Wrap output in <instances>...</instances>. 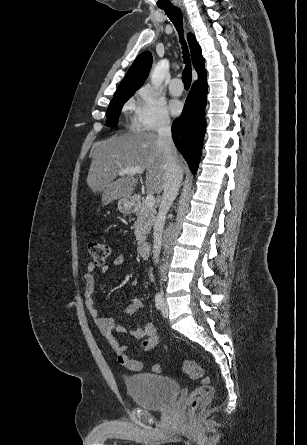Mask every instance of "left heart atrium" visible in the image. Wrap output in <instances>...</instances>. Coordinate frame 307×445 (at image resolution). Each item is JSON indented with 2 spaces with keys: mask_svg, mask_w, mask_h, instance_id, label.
I'll list each match as a JSON object with an SVG mask.
<instances>
[{
  "mask_svg": "<svg viewBox=\"0 0 307 445\" xmlns=\"http://www.w3.org/2000/svg\"><path fill=\"white\" fill-rule=\"evenodd\" d=\"M169 109L173 115L177 116L182 112V104L179 100L172 99L169 102Z\"/></svg>",
  "mask_w": 307,
  "mask_h": 445,
  "instance_id": "left-heart-atrium-1",
  "label": "left heart atrium"
}]
</instances>
